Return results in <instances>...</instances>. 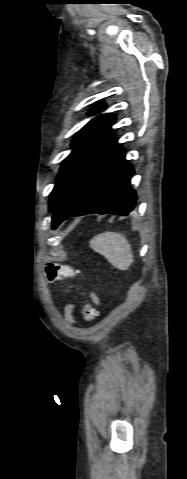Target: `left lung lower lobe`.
<instances>
[{"label": "left lung lower lobe", "instance_id": "0a47b994", "mask_svg": "<svg viewBox=\"0 0 187 479\" xmlns=\"http://www.w3.org/2000/svg\"><path fill=\"white\" fill-rule=\"evenodd\" d=\"M134 174L125 160V149L117 143L92 162L75 181L53 211L52 228L71 216L113 214L126 216L136 205V192L130 187Z\"/></svg>", "mask_w": 187, "mask_h": 479}]
</instances>
